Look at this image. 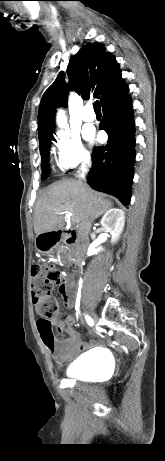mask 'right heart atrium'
<instances>
[{"label": "right heart atrium", "instance_id": "d8ad5b80", "mask_svg": "<svg viewBox=\"0 0 165 461\" xmlns=\"http://www.w3.org/2000/svg\"><path fill=\"white\" fill-rule=\"evenodd\" d=\"M54 144L56 160L60 168L69 170L90 162L89 153L77 134L61 131L57 133Z\"/></svg>", "mask_w": 165, "mask_h": 461}]
</instances>
